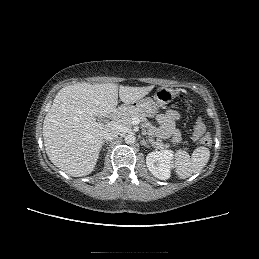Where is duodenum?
<instances>
[{
    "mask_svg": "<svg viewBox=\"0 0 259 259\" xmlns=\"http://www.w3.org/2000/svg\"><path fill=\"white\" fill-rule=\"evenodd\" d=\"M115 114H116V110L111 114V118H114Z\"/></svg>",
    "mask_w": 259,
    "mask_h": 259,
    "instance_id": "1",
    "label": "duodenum"
}]
</instances>
